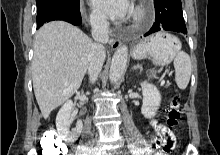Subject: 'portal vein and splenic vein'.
Masks as SVG:
<instances>
[{
  "label": "portal vein and splenic vein",
  "mask_w": 220,
  "mask_h": 155,
  "mask_svg": "<svg viewBox=\"0 0 220 155\" xmlns=\"http://www.w3.org/2000/svg\"><path fill=\"white\" fill-rule=\"evenodd\" d=\"M164 84H165V81H164V80H161L160 85L163 86Z\"/></svg>",
  "instance_id": "portal-vein-and-splenic-vein-1"
}]
</instances>
